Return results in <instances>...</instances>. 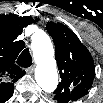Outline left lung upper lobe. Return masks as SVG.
Masks as SVG:
<instances>
[{"mask_svg": "<svg viewBox=\"0 0 103 103\" xmlns=\"http://www.w3.org/2000/svg\"><path fill=\"white\" fill-rule=\"evenodd\" d=\"M46 28L53 37L61 77L54 99L58 103H71L86 95L91 88L95 76L94 61L88 49L68 27L48 22Z\"/></svg>", "mask_w": 103, "mask_h": 103, "instance_id": "5c2ea615", "label": "left lung upper lobe"}]
</instances>
